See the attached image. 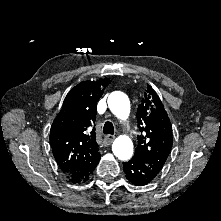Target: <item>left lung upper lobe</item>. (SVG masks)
I'll list each match as a JSON object with an SVG mask.
<instances>
[{"label": "left lung upper lobe", "instance_id": "5c2ea615", "mask_svg": "<svg viewBox=\"0 0 221 221\" xmlns=\"http://www.w3.org/2000/svg\"><path fill=\"white\" fill-rule=\"evenodd\" d=\"M137 121L142 134L137 137L133 158L159 173L172 148V126L159 96L149 85L138 106Z\"/></svg>", "mask_w": 221, "mask_h": 221}]
</instances>
